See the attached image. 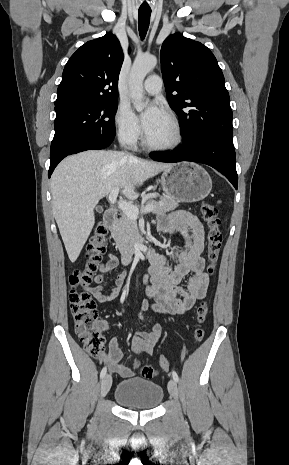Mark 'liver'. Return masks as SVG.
Here are the masks:
<instances>
[{
    "label": "liver",
    "mask_w": 289,
    "mask_h": 465,
    "mask_svg": "<svg viewBox=\"0 0 289 465\" xmlns=\"http://www.w3.org/2000/svg\"><path fill=\"white\" fill-rule=\"evenodd\" d=\"M172 165L106 150H89L61 161L51 177V194L70 261L77 260L94 227V208L100 199L119 188L134 200L139 196L137 186Z\"/></svg>",
    "instance_id": "6515ba94"
}]
</instances>
